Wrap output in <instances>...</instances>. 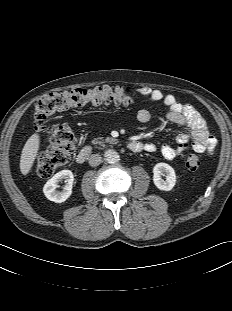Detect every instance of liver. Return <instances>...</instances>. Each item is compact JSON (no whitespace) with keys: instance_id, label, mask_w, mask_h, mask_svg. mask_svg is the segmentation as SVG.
Here are the masks:
<instances>
[{"instance_id":"1","label":"liver","mask_w":232,"mask_h":311,"mask_svg":"<svg viewBox=\"0 0 232 311\" xmlns=\"http://www.w3.org/2000/svg\"><path fill=\"white\" fill-rule=\"evenodd\" d=\"M40 146V136L34 133L26 141L20 158V171L23 175H27L34 164V161L38 155Z\"/></svg>"}]
</instances>
